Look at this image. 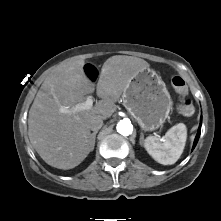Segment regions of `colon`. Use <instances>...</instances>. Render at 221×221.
Masks as SVG:
<instances>
[{
    "label": "colon",
    "instance_id": "colon-1",
    "mask_svg": "<svg viewBox=\"0 0 221 221\" xmlns=\"http://www.w3.org/2000/svg\"><path fill=\"white\" fill-rule=\"evenodd\" d=\"M84 73L86 74V77L89 80H95L98 77V72L95 70V68L92 65H87L84 68ZM171 84L174 90L178 94H185L187 91L186 83L184 79L180 76H174L171 79ZM179 112L183 116H191L194 113V106L190 100H185L182 104L179 106Z\"/></svg>",
    "mask_w": 221,
    "mask_h": 221
}]
</instances>
